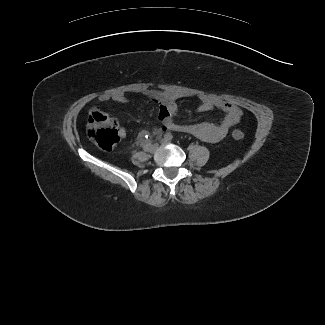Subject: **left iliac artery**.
<instances>
[{
    "label": "left iliac artery",
    "mask_w": 325,
    "mask_h": 325,
    "mask_svg": "<svg viewBox=\"0 0 325 325\" xmlns=\"http://www.w3.org/2000/svg\"><path fill=\"white\" fill-rule=\"evenodd\" d=\"M164 137H165V139H167V140H172V139H173V135H172L171 133H166V134L164 135Z\"/></svg>",
    "instance_id": "1"
}]
</instances>
